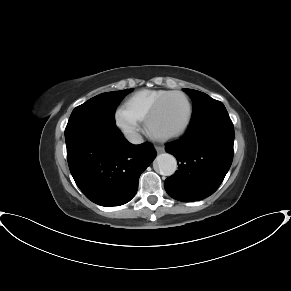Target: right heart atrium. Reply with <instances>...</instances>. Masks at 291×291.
<instances>
[{
  "label": "right heart atrium",
  "instance_id": "1",
  "mask_svg": "<svg viewBox=\"0 0 291 291\" xmlns=\"http://www.w3.org/2000/svg\"><path fill=\"white\" fill-rule=\"evenodd\" d=\"M139 122L140 120L125 107H119L115 113V124L127 137L138 130Z\"/></svg>",
  "mask_w": 291,
  "mask_h": 291
}]
</instances>
